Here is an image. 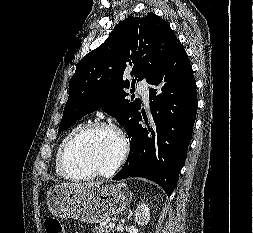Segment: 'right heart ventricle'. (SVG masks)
<instances>
[{
	"label": "right heart ventricle",
	"instance_id": "e07e8e85",
	"mask_svg": "<svg viewBox=\"0 0 253 233\" xmlns=\"http://www.w3.org/2000/svg\"><path fill=\"white\" fill-rule=\"evenodd\" d=\"M83 123H78L77 125H75L70 131H68L65 136L63 137V139L61 140V142L59 143L56 153H55V172L58 176H63V173L61 171V167H60V159H61V155H62V151L66 145V143L68 142V140L83 126Z\"/></svg>",
	"mask_w": 253,
	"mask_h": 233
}]
</instances>
